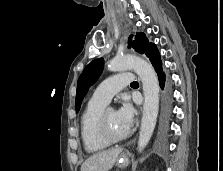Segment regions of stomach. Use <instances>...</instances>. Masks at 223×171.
I'll return each instance as SVG.
<instances>
[{"label":"stomach","instance_id":"1","mask_svg":"<svg viewBox=\"0 0 223 171\" xmlns=\"http://www.w3.org/2000/svg\"><path fill=\"white\" fill-rule=\"evenodd\" d=\"M117 164L119 166H127L129 164V158L127 154L125 153L121 154L119 159L117 160Z\"/></svg>","mask_w":223,"mask_h":171}]
</instances>
